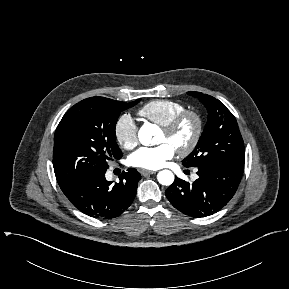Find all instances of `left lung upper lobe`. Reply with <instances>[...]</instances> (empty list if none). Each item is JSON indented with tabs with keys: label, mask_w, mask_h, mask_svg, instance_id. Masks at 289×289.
<instances>
[{
	"label": "left lung upper lobe",
	"mask_w": 289,
	"mask_h": 289,
	"mask_svg": "<svg viewBox=\"0 0 289 289\" xmlns=\"http://www.w3.org/2000/svg\"><path fill=\"white\" fill-rule=\"evenodd\" d=\"M208 111V121L196 148L182 161L185 167L212 162H229L244 166V142L237 121L227 107L212 96L191 91Z\"/></svg>",
	"instance_id": "obj_1"
}]
</instances>
